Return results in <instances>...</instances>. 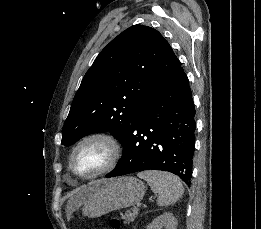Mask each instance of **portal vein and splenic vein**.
Segmentation results:
<instances>
[{"mask_svg":"<svg viewBox=\"0 0 261 229\" xmlns=\"http://www.w3.org/2000/svg\"><path fill=\"white\" fill-rule=\"evenodd\" d=\"M144 204L143 203H138L137 206L135 207V211H139L140 209H143Z\"/></svg>","mask_w":261,"mask_h":229,"instance_id":"18ae733b","label":"portal vein and splenic vein"}]
</instances>
